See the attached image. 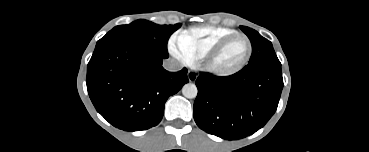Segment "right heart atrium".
I'll return each instance as SVG.
<instances>
[{"instance_id":"1","label":"right heart atrium","mask_w":369,"mask_h":152,"mask_svg":"<svg viewBox=\"0 0 369 152\" xmlns=\"http://www.w3.org/2000/svg\"><path fill=\"white\" fill-rule=\"evenodd\" d=\"M169 50L173 55L181 59L183 62L187 64L191 63L189 53L179 45L177 38H172L170 40Z\"/></svg>"}]
</instances>
